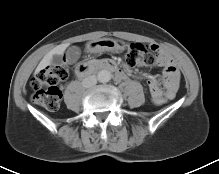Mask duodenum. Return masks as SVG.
<instances>
[{
	"mask_svg": "<svg viewBox=\"0 0 219 174\" xmlns=\"http://www.w3.org/2000/svg\"><path fill=\"white\" fill-rule=\"evenodd\" d=\"M100 70L116 71L118 73L117 66L113 61L104 60L99 62H92L87 65H81L76 69L75 74L78 77H85L95 71Z\"/></svg>",
	"mask_w": 219,
	"mask_h": 174,
	"instance_id": "obj_1",
	"label": "duodenum"
}]
</instances>
